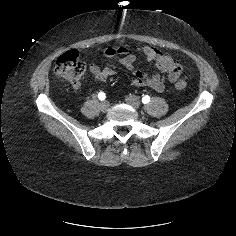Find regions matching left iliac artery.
I'll return each instance as SVG.
<instances>
[{"label":"left iliac artery","mask_w":236,"mask_h":236,"mask_svg":"<svg viewBox=\"0 0 236 236\" xmlns=\"http://www.w3.org/2000/svg\"><path fill=\"white\" fill-rule=\"evenodd\" d=\"M150 102V97L148 95H145L143 98H142V103L143 104H147Z\"/></svg>","instance_id":"44dca946"}]
</instances>
